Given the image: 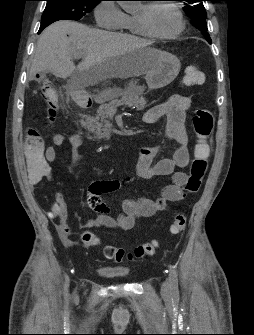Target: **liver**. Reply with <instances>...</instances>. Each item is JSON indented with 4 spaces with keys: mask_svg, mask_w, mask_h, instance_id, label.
Instances as JSON below:
<instances>
[{
    "mask_svg": "<svg viewBox=\"0 0 254 335\" xmlns=\"http://www.w3.org/2000/svg\"><path fill=\"white\" fill-rule=\"evenodd\" d=\"M150 42L123 33L89 28L68 20L57 21L40 35L30 69L51 72L58 78L72 77L82 86L111 78L137 77L147 73L154 58L147 51ZM82 61L75 66V54Z\"/></svg>",
    "mask_w": 254,
    "mask_h": 335,
    "instance_id": "liver-1",
    "label": "liver"
}]
</instances>
